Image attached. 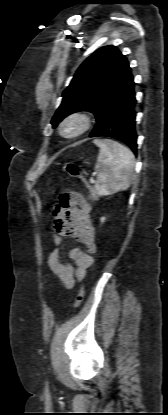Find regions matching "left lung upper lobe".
<instances>
[{
  "instance_id": "obj_1",
  "label": "left lung upper lobe",
  "mask_w": 168,
  "mask_h": 415,
  "mask_svg": "<svg viewBox=\"0 0 168 415\" xmlns=\"http://www.w3.org/2000/svg\"><path fill=\"white\" fill-rule=\"evenodd\" d=\"M132 79L126 57L115 46L96 50L79 67L63 92L62 103L51 121L53 127L78 111H90L98 118L111 99Z\"/></svg>"
}]
</instances>
